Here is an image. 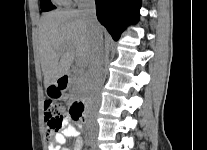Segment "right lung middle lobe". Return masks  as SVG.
Segmentation results:
<instances>
[{"instance_id": "1", "label": "right lung middle lobe", "mask_w": 207, "mask_h": 150, "mask_svg": "<svg viewBox=\"0 0 207 150\" xmlns=\"http://www.w3.org/2000/svg\"><path fill=\"white\" fill-rule=\"evenodd\" d=\"M40 5H41L42 11H50L54 8L50 0H40Z\"/></svg>"}]
</instances>
